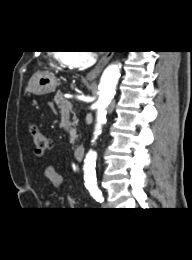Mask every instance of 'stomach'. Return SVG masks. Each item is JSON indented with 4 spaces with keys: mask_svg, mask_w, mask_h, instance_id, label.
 <instances>
[{
    "mask_svg": "<svg viewBox=\"0 0 192 260\" xmlns=\"http://www.w3.org/2000/svg\"><path fill=\"white\" fill-rule=\"evenodd\" d=\"M59 85L58 80L50 73H37L29 82V91L35 95L52 93Z\"/></svg>",
    "mask_w": 192,
    "mask_h": 260,
    "instance_id": "obj_1",
    "label": "stomach"
}]
</instances>
